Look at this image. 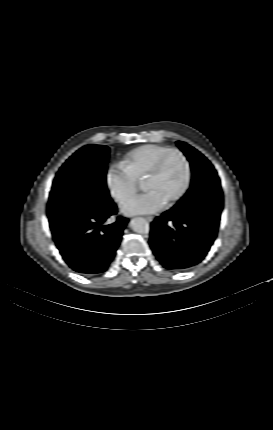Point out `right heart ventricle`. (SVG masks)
Wrapping results in <instances>:
<instances>
[{"mask_svg": "<svg viewBox=\"0 0 273 430\" xmlns=\"http://www.w3.org/2000/svg\"><path fill=\"white\" fill-rule=\"evenodd\" d=\"M171 147L161 144H145L128 152L122 164L138 180H144L158 159Z\"/></svg>", "mask_w": 273, "mask_h": 430, "instance_id": "right-heart-ventricle-1", "label": "right heart ventricle"}]
</instances>
